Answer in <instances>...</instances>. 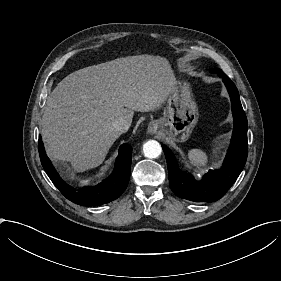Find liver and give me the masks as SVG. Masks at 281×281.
<instances>
[{
    "mask_svg": "<svg viewBox=\"0 0 281 281\" xmlns=\"http://www.w3.org/2000/svg\"><path fill=\"white\" fill-rule=\"evenodd\" d=\"M177 86L170 61L160 55L119 57L72 72L47 100L41 128L46 155L76 173L99 166L121 135L113 124H131L134 111L158 108Z\"/></svg>",
    "mask_w": 281,
    "mask_h": 281,
    "instance_id": "obj_1",
    "label": "liver"
}]
</instances>
